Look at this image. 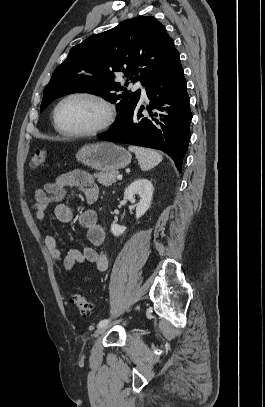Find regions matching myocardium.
<instances>
[{
    "label": "myocardium",
    "mask_w": 265,
    "mask_h": 407,
    "mask_svg": "<svg viewBox=\"0 0 265 407\" xmlns=\"http://www.w3.org/2000/svg\"><path fill=\"white\" fill-rule=\"evenodd\" d=\"M73 98H86L93 100L100 104L104 111H105V118L104 120L98 124L95 127L85 129V130H66L62 128L59 124L58 121V112L60 107L65 103L67 100L73 99ZM116 118V109L115 106L111 101H109L107 98L104 96H101L97 93L93 92H88V91H77V92H72L67 95H65L63 98L59 100V102L56 104L54 110H53V122L56 130L65 136L68 137H87V136H94L100 133H103L107 131L114 123Z\"/></svg>",
    "instance_id": "obj_1"
}]
</instances>
